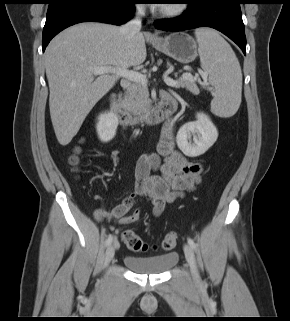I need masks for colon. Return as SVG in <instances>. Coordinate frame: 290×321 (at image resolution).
I'll return each instance as SVG.
<instances>
[{
	"label": "colon",
	"instance_id": "1",
	"mask_svg": "<svg viewBox=\"0 0 290 321\" xmlns=\"http://www.w3.org/2000/svg\"><path fill=\"white\" fill-rule=\"evenodd\" d=\"M69 162L72 166H77L79 163V150L76 149L73 155L69 158ZM138 212L135 211L126 216V223L135 222L138 219ZM122 240L126 246L135 252H146L149 249V245L140 238L133 230L127 229L122 233ZM177 242V235L174 232L167 233L162 239L160 246L163 250H171L175 247Z\"/></svg>",
	"mask_w": 290,
	"mask_h": 321
}]
</instances>
